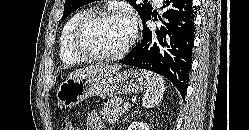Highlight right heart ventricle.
<instances>
[{
    "label": "right heart ventricle",
    "instance_id": "e07e8e85",
    "mask_svg": "<svg viewBox=\"0 0 249 130\" xmlns=\"http://www.w3.org/2000/svg\"><path fill=\"white\" fill-rule=\"evenodd\" d=\"M91 10L89 8L80 9L75 12L65 23L59 38V55L64 64L74 65L82 59L72 50V38L74 30L83 16Z\"/></svg>",
    "mask_w": 249,
    "mask_h": 130
}]
</instances>
